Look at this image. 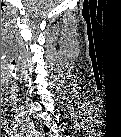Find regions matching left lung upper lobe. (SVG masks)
Returning <instances> with one entry per match:
<instances>
[{
  "label": "left lung upper lobe",
  "mask_w": 121,
  "mask_h": 137,
  "mask_svg": "<svg viewBox=\"0 0 121 137\" xmlns=\"http://www.w3.org/2000/svg\"><path fill=\"white\" fill-rule=\"evenodd\" d=\"M44 130L47 131L48 129L46 127H44Z\"/></svg>",
  "instance_id": "obj_1"
}]
</instances>
